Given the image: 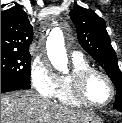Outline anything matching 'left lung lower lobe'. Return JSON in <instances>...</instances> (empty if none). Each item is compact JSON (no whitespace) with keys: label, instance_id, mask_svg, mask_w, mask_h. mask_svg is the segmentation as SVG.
I'll return each instance as SVG.
<instances>
[{"label":"left lung lower lobe","instance_id":"obj_1","mask_svg":"<svg viewBox=\"0 0 122 123\" xmlns=\"http://www.w3.org/2000/svg\"><path fill=\"white\" fill-rule=\"evenodd\" d=\"M118 111H120V112H122V109L121 108H119V109H117Z\"/></svg>","mask_w":122,"mask_h":123}]
</instances>
